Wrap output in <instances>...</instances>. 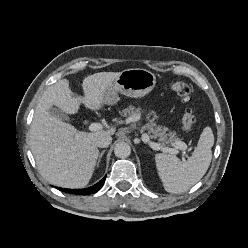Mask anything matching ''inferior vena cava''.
<instances>
[{
	"label": "inferior vena cava",
	"instance_id": "1",
	"mask_svg": "<svg viewBox=\"0 0 248 248\" xmlns=\"http://www.w3.org/2000/svg\"><path fill=\"white\" fill-rule=\"evenodd\" d=\"M112 142V137L108 134L101 135L96 138L95 145L99 148H105Z\"/></svg>",
	"mask_w": 248,
	"mask_h": 248
}]
</instances>
